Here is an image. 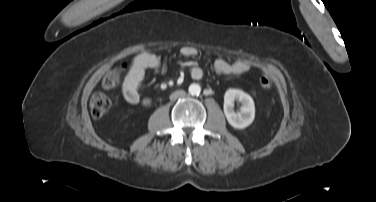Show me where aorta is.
<instances>
[{"instance_id":"aorta-1","label":"aorta","mask_w":376,"mask_h":202,"mask_svg":"<svg viewBox=\"0 0 376 202\" xmlns=\"http://www.w3.org/2000/svg\"><path fill=\"white\" fill-rule=\"evenodd\" d=\"M189 93L191 95H199L201 92V87L199 84L193 83L189 86Z\"/></svg>"}]
</instances>
